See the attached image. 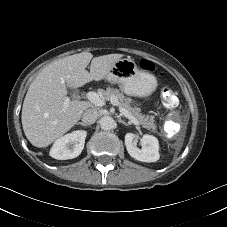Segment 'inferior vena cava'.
<instances>
[{"mask_svg":"<svg viewBox=\"0 0 227 227\" xmlns=\"http://www.w3.org/2000/svg\"><path fill=\"white\" fill-rule=\"evenodd\" d=\"M99 116V112L96 109H87L83 116L82 121L87 125L93 124Z\"/></svg>","mask_w":227,"mask_h":227,"instance_id":"obj_1","label":"inferior vena cava"}]
</instances>
